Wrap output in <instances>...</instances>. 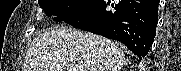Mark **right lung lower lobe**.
<instances>
[{
	"label": "right lung lower lobe",
	"instance_id": "obj_1",
	"mask_svg": "<svg viewBox=\"0 0 181 71\" xmlns=\"http://www.w3.org/2000/svg\"><path fill=\"white\" fill-rule=\"evenodd\" d=\"M158 5L159 0H96L64 22L120 41L141 59L156 34Z\"/></svg>",
	"mask_w": 181,
	"mask_h": 71
}]
</instances>
